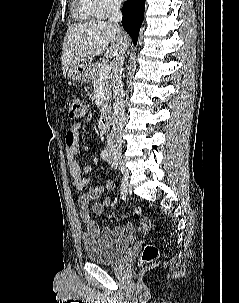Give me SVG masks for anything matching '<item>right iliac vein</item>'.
I'll use <instances>...</instances> for the list:
<instances>
[{"label":"right iliac vein","mask_w":239,"mask_h":303,"mask_svg":"<svg viewBox=\"0 0 239 303\" xmlns=\"http://www.w3.org/2000/svg\"><path fill=\"white\" fill-rule=\"evenodd\" d=\"M115 161L117 162V164L119 166H121L122 171H126V176H124V178L126 179V183H127L128 182V172H127L126 168L124 167V163H123L122 158L121 157H117V158H115Z\"/></svg>","instance_id":"right-iliac-vein-1"}]
</instances>
